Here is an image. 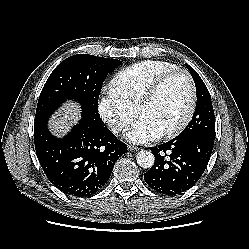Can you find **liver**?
Segmentation results:
<instances>
[{
  "label": "liver",
  "mask_w": 249,
  "mask_h": 249,
  "mask_svg": "<svg viewBox=\"0 0 249 249\" xmlns=\"http://www.w3.org/2000/svg\"><path fill=\"white\" fill-rule=\"evenodd\" d=\"M79 114L80 109L75 103L65 104L60 113L53 117V120L50 122L51 130L57 136L65 133L70 125L79 119Z\"/></svg>",
  "instance_id": "6515ba94"
}]
</instances>
